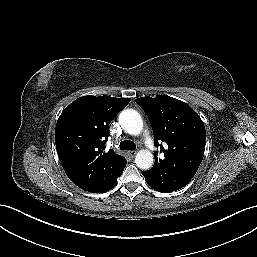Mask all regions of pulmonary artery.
I'll list each match as a JSON object with an SVG mask.
<instances>
[{"label":"pulmonary artery","mask_w":257,"mask_h":257,"mask_svg":"<svg viewBox=\"0 0 257 257\" xmlns=\"http://www.w3.org/2000/svg\"><path fill=\"white\" fill-rule=\"evenodd\" d=\"M143 139H144V143L145 145L151 150H155V147L153 145V142H152V138H151V135L148 131H145L143 133Z\"/></svg>","instance_id":"1"}]
</instances>
